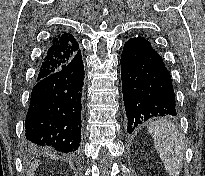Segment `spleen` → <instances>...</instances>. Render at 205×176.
Segmentation results:
<instances>
[{"label":"spleen","mask_w":205,"mask_h":176,"mask_svg":"<svg viewBox=\"0 0 205 176\" xmlns=\"http://www.w3.org/2000/svg\"><path fill=\"white\" fill-rule=\"evenodd\" d=\"M148 131L154 140L156 151L169 176H179L182 169L185 145L176 125L171 121L159 119L149 125Z\"/></svg>","instance_id":"spleen-1"}]
</instances>
